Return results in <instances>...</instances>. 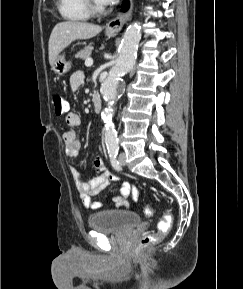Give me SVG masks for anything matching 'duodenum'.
Here are the masks:
<instances>
[{
	"label": "duodenum",
	"instance_id": "1",
	"mask_svg": "<svg viewBox=\"0 0 243 289\" xmlns=\"http://www.w3.org/2000/svg\"><path fill=\"white\" fill-rule=\"evenodd\" d=\"M93 108L95 112H100L102 109V100L98 94H94L92 98Z\"/></svg>",
	"mask_w": 243,
	"mask_h": 289
}]
</instances>
